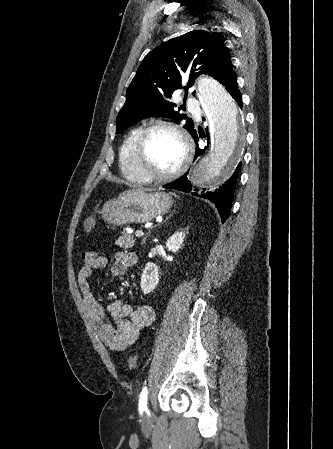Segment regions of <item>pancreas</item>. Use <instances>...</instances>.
<instances>
[{"instance_id": "obj_1", "label": "pancreas", "mask_w": 333, "mask_h": 449, "mask_svg": "<svg viewBox=\"0 0 333 449\" xmlns=\"http://www.w3.org/2000/svg\"><path fill=\"white\" fill-rule=\"evenodd\" d=\"M116 244L124 248H130L134 244V236L128 233L127 229H123L122 235L118 238Z\"/></svg>"}]
</instances>
